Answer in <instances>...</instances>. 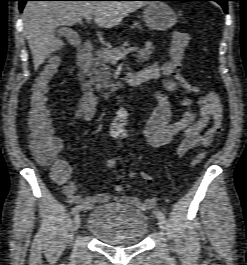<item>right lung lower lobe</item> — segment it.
Wrapping results in <instances>:
<instances>
[{
    "label": "right lung lower lobe",
    "mask_w": 247,
    "mask_h": 265,
    "mask_svg": "<svg viewBox=\"0 0 247 265\" xmlns=\"http://www.w3.org/2000/svg\"><path fill=\"white\" fill-rule=\"evenodd\" d=\"M18 1L20 2L19 10L22 11L26 1H30V0H18ZM81 1H101V0H81Z\"/></svg>",
    "instance_id": "1"
}]
</instances>
